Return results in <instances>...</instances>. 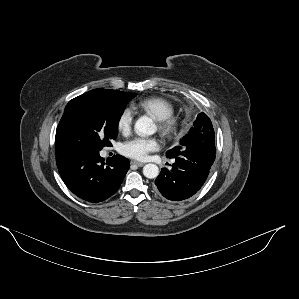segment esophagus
I'll return each instance as SVG.
<instances>
[{
	"instance_id": "1",
	"label": "esophagus",
	"mask_w": 299,
	"mask_h": 299,
	"mask_svg": "<svg viewBox=\"0 0 299 299\" xmlns=\"http://www.w3.org/2000/svg\"><path fill=\"white\" fill-rule=\"evenodd\" d=\"M131 164H134V165H136V166H138V167H142L143 165H144V163L143 162H138V161H131Z\"/></svg>"
}]
</instances>
